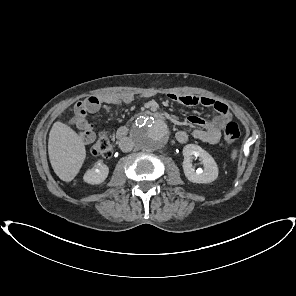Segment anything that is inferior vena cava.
Instances as JSON below:
<instances>
[{"mask_svg":"<svg viewBox=\"0 0 296 296\" xmlns=\"http://www.w3.org/2000/svg\"><path fill=\"white\" fill-rule=\"evenodd\" d=\"M119 146L122 151L128 152L132 150L133 142L129 138H125L120 142Z\"/></svg>","mask_w":296,"mask_h":296,"instance_id":"1","label":"inferior vena cava"}]
</instances>
